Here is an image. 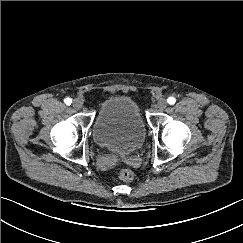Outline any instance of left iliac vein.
Returning a JSON list of instances; mask_svg holds the SVG:
<instances>
[{
    "instance_id": "obj_1",
    "label": "left iliac vein",
    "mask_w": 243,
    "mask_h": 243,
    "mask_svg": "<svg viewBox=\"0 0 243 243\" xmlns=\"http://www.w3.org/2000/svg\"><path fill=\"white\" fill-rule=\"evenodd\" d=\"M167 107V101L164 98L159 99L157 102V108L163 110Z\"/></svg>"
}]
</instances>
